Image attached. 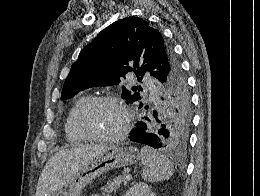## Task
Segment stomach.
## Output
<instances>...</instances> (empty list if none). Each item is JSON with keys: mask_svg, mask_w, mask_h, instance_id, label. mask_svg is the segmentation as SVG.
Instances as JSON below:
<instances>
[{"mask_svg": "<svg viewBox=\"0 0 260 196\" xmlns=\"http://www.w3.org/2000/svg\"><path fill=\"white\" fill-rule=\"evenodd\" d=\"M139 158L138 150L133 146H127V148L106 146L102 154L95 156L84 168H79L72 180L66 184L67 187H61L59 193H42V196H80L82 190L92 180H96V178H99L105 172H109V170H114V168L132 166V164H136Z\"/></svg>", "mask_w": 260, "mask_h": 196, "instance_id": "stomach-1", "label": "stomach"}]
</instances>
